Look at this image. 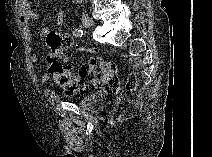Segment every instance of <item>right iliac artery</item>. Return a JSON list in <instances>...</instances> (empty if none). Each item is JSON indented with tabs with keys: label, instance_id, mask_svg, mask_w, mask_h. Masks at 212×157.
Returning a JSON list of instances; mask_svg holds the SVG:
<instances>
[{
	"label": "right iliac artery",
	"instance_id": "obj_1",
	"mask_svg": "<svg viewBox=\"0 0 212 157\" xmlns=\"http://www.w3.org/2000/svg\"><path fill=\"white\" fill-rule=\"evenodd\" d=\"M73 35L75 37H82L84 35V32L82 29H74L73 30Z\"/></svg>",
	"mask_w": 212,
	"mask_h": 157
}]
</instances>
